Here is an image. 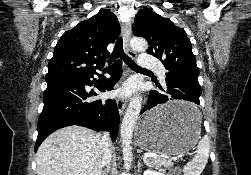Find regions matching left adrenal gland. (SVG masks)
Segmentation results:
<instances>
[{"mask_svg": "<svg viewBox=\"0 0 251 175\" xmlns=\"http://www.w3.org/2000/svg\"><path fill=\"white\" fill-rule=\"evenodd\" d=\"M140 167H141V159H138V171H140Z\"/></svg>", "mask_w": 251, "mask_h": 175, "instance_id": "left-adrenal-gland-1", "label": "left adrenal gland"}]
</instances>
